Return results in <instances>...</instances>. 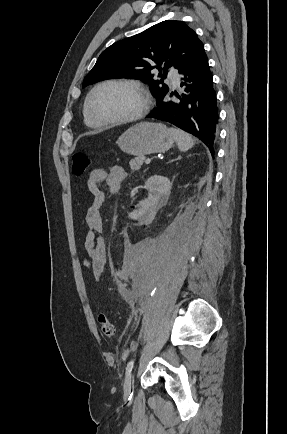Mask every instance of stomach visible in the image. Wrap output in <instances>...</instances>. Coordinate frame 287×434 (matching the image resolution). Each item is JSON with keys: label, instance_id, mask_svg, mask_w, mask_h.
<instances>
[{"label": "stomach", "instance_id": "1", "mask_svg": "<svg viewBox=\"0 0 287 434\" xmlns=\"http://www.w3.org/2000/svg\"><path fill=\"white\" fill-rule=\"evenodd\" d=\"M116 143L129 155L144 156L169 150L174 138L161 123L141 122L126 130Z\"/></svg>", "mask_w": 287, "mask_h": 434}]
</instances>
